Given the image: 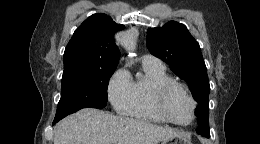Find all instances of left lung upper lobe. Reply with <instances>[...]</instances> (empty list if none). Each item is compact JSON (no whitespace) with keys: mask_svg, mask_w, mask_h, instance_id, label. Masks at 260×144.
<instances>
[{"mask_svg":"<svg viewBox=\"0 0 260 144\" xmlns=\"http://www.w3.org/2000/svg\"><path fill=\"white\" fill-rule=\"evenodd\" d=\"M146 44L151 54L166 62L178 77L190 85L198 102L197 133L208 137L210 85L199 43L184 24L170 21L162 27L149 28Z\"/></svg>","mask_w":260,"mask_h":144,"instance_id":"5c2ea615","label":"left lung upper lobe"}]
</instances>
